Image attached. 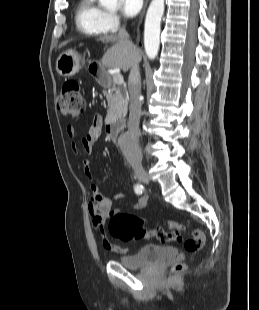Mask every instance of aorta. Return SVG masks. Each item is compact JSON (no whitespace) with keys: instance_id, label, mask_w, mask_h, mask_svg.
Segmentation results:
<instances>
[{"instance_id":"aorta-1","label":"aorta","mask_w":259,"mask_h":310,"mask_svg":"<svg viewBox=\"0 0 259 310\" xmlns=\"http://www.w3.org/2000/svg\"><path fill=\"white\" fill-rule=\"evenodd\" d=\"M101 5L109 10L117 8L118 0H99ZM164 0H152L145 19L144 46L149 59H155L160 45V23L164 13ZM126 145L130 144V139L124 140Z\"/></svg>"}]
</instances>
